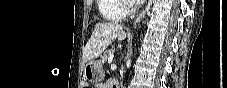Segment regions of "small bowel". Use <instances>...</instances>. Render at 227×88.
Wrapping results in <instances>:
<instances>
[{
	"mask_svg": "<svg viewBox=\"0 0 227 88\" xmlns=\"http://www.w3.org/2000/svg\"><path fill=\"white\" fill-rule=\"evenodd\" d=\"M111 85L110 84H107V83H99L97 84V88H111L110 87Z\"/></svg>",
	"mask_w": 227,
	"mask_h": 88,
	"instance_id": "1",
	"label": "small bowel"
}]
</instances>
